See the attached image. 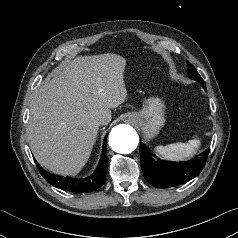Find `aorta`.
Segmentation results:
<instances>
[{"mask_svg":"<svg viewBox=\"0 0 238 238\" xmlns=\"http://www.w3.org/2000/svg\"><path fill=\"white\" fill-rule=\"evenodd\" d=\"M139 137L130 125L119 124L115 126L109 135V145L118 153L128 154L134 151L138 145Z\"/></svg>","mask_w":238,"mask_h":238,"instance_id":"aorta-1","label":"aorta"}]
</instances>
